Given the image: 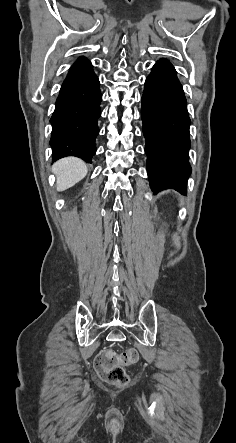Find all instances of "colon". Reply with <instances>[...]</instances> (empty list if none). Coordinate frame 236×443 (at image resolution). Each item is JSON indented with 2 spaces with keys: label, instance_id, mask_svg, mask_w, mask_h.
I'll list each match as a JSON object with an SVG mask.
<instances>
[{
  "label": "colon",
  "instance_id": "obj_1",
  "mask_svg": "<svg viewBox=\"0 0 236 443\" xmlns=\"http://www.w3.org/2000/svg\"><path fill=\"white\" fill-rule=\"evenodd\" d=\"M138 353L135 349H127L118 355L113 351L100 353L95 360V370L99 377L109 384L123 386L129 381L124 366L135 363Z\"/></svg>",
  "mask_w": 236,
  "mask_h": 443
}]
</instances>
